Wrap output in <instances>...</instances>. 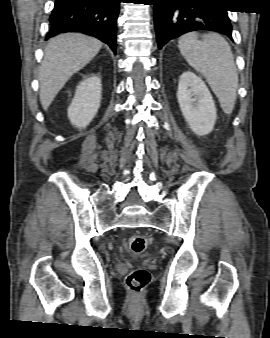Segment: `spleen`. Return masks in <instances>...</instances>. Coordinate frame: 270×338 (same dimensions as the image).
<instances>
[{
  "label": "spleen",
  "instance_id": "1",
  "mask_svg": "<svg viewBox=\"0 0 270 338\" xmlns=\"http://www.w3.org/2000/svg\"><path fill=\"white\" fill-rule=\"evenodd\" d=\"M178 47L188 64L205 77L222 110L231 114L237 97L238 74L228 42L216 33L191 32L179 38Z\"/></svg>",
  "mask_w": 270,
  "mask_h": 338
}]
</instances>
